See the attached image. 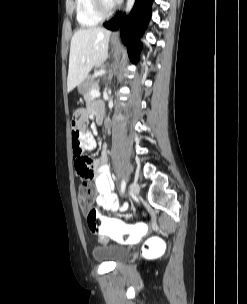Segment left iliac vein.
<instances>
[{
	"label": "left iliac vein",
	"instance_id": "left-iliac-vein-1",
	"mask_svg": "<svg viewBox=\"0 0 247 304\" xmlns=\"http://www.w3.org/2000/svg\"><path fill=\"white\" fill-rule=\"evenodd\" d=\"M130 192H131V195L133 197H136L139 192H140V186L138 183L136 182H133L131 185H130Z\"/></svg>",
	"mask_w": 247,
	"mask_h": 304
}]
</instances>
